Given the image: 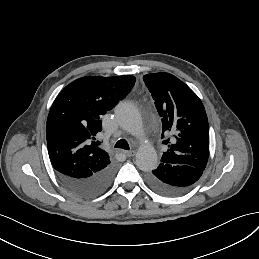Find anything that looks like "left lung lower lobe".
Returning a JSON list of instances; mask_svg holds the SVG:
<instances>
[{
  "label": "left lung lower lobe",
  "mask_w": 259,
  "mask_h": 259,
  "mask_svg": "<svg viewBox=\"0 0 259 259\" xmlns=\"http://www.w3.org/2000/svg\"><path fill=\"white\" fill-rule=\"evenodd\" d=\"M203 171L188 165L161 163L146 177L150 188L165 196H179L189 191Z\"/></svg>",
  "instance_id": "1"
}]
</instances>
